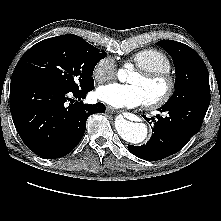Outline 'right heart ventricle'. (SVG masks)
<instances>
[{
    "label": "right heart ventricle",
    "mask_w": 221,
    "mask_h": 221,
    "mask_svg": "<svg viewBox=\"0 0 221 221\" xmlns=\"http://www.w3.org/2000/svg\"><path fill=\"white\" fill-rule=\"evenodd\" d=\"M132 62L138 69L170 71L169 57L156 48L143 49L132 56Z\"/></svg>",
    "instance_id": "1"
}]
</instances>
